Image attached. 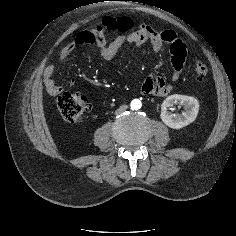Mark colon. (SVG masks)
Here are the masks:
<instances>
[{
	"label": "colon",
	"mask_w": 236,
	"mask_h": 236,
	"mask_svg": "<svg viewBox=\"0 0 236 236\" xmlns=\"http://www.w3.org/2000/svg\"><path fill=\"white\" fill-rule=\"evenodd\" d=\"M118 24L122 29L129 24L128 18H119ZM208 66L203 63H197L194 66V74L197 80L202 81L208 75ZM89 99L84 94L63 93L57 99L58 110L63 119L68 123L80 121L89 109Z\"/></svg>",
	"instance_id": "1"
}]
</instances>
